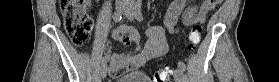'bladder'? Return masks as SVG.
Masks as SVG:
<instances>
[{
    "mask_svg": "<svg viewBox=\"0 0 279 82\" xmlns=\"http://www.w3.org/2000/svg\"><path fill=\"white\" fill-rule=\"evenodd\" d=\"M115 82H153L149 76L141 72H130L118 77Z\"/></svg>",
    "mask_w": 279,
    "mask_h": 82,
    "instance_id": "31cf9c89",
    "label": "bladder"
}]
</instances>
